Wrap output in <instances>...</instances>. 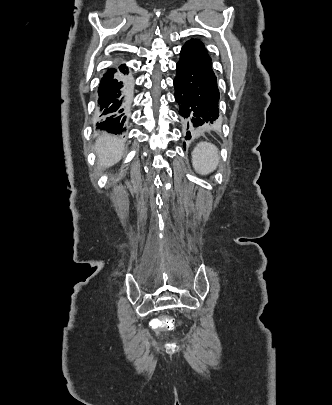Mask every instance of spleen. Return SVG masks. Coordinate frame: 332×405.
Wrapping results in <instances>:
<instances>
[{"label": "spleen", "mask_w": 332, "mask_h": 405, "mask_svg": "<svg viewBox=\"0 0 332 405\" xmlns=\"http://www.w3.org/2000/svg\"><path fill=\"white\" fill-rule=\"evenodd\" d=\"M220 162L218 148L211 142H199L192 152V164L201 175L213 172Z\"/></svg>", "instance_id": "1"}]
</instances>
